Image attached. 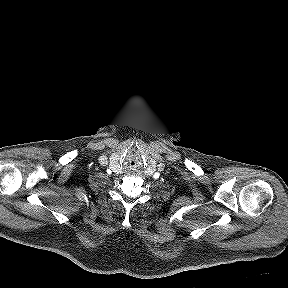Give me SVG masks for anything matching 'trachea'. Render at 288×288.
Here are the masks:
<instances>
[{"mask_svg": "<svg viewBox=\"0 0 288 288\" xmlns=\"http://www.w3.org/2000/svg\"><path fill=\"white\" fill-rule=\"evenodd\" d=\"M139 162H140L139 155L133 151H130L127 155L126 160H125V165L133 168V167L138 166Z\"/></svg>", "mask_w": 288, "mask_h": 288, "instance_id": "obj_1", "label": "trachea"}]
</instances>
